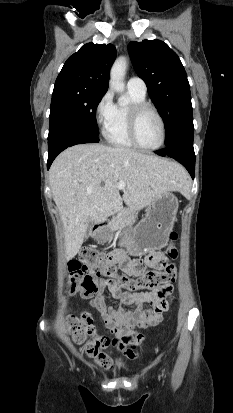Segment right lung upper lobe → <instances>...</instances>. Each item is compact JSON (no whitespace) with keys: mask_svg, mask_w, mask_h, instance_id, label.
<instances>
[{"mask_svg":"<svg viewBox=\"0 0 233 413\" xmlns=\"http://www.w3.org/2000/svg\"><path fill=\"white\" fill-rule=\"evenodd\" d=\"M115 58L116 48L112 44L87 43L67 59L55 87L75 86L106 93L109 69Z\"/></svg>","mask_w":233,"mask_h":413,"instance_id":"right-lung-upper-lobe-1","label":"right lung upper lobe"}]
</instances>
